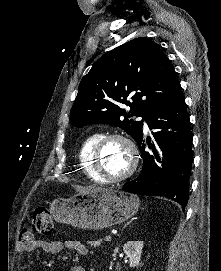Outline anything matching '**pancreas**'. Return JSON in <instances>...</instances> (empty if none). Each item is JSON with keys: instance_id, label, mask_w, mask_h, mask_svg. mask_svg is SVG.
<instances>
[{"instance_id": "pancreas-1", "label": "pancreas", "mask_w": 221, "mask_h": 271, "mask_svg": "<svg viewBox=\"0 0 221 271\" xmlns=\"http://www.w3.org/2000/svg\"><path fill=\"white\" fill-rule=\"evenodd\" d=\"M89 247H102L103 239H88Z\"/></svg>"}]
</instances>
